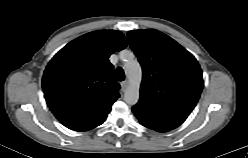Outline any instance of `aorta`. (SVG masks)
<instances>
[{
  "mask_svg": "<svg viewBox=\"0 0 248 158\" xmlns=\"http://www.w3.org/2000/svg\"><path fill=\"white\" fill-rule=\"evenodd\" d=\"M127 61L124 63V72L129 85L124 93V100L129 105H135L139 100V89L142 79V69L131 52H126Z\"/></svg>",
  "mask_w": 248,
  "mask_h": 158,
  "instance_id": "aorta-1",
  "label": "aorta"
}]
</instances>
